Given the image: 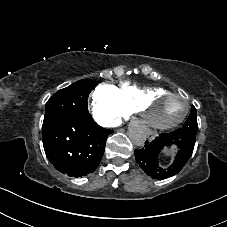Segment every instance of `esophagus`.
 <instances>
[{
  "mask_svg": "<svg viewBox=\"0 0 227 227\" xmlns=\"http://www.w3.org/2000/svg\"><path fill=\"white\" fill-rule=\"evenodd\" d=\"M155 131L154 130H149L146 136L147 141L152 142L155 139Z\"/></svg>",
  "mask_w": 227,
  "mask_h": 227,
  "instance_id": "obj_1",
  "label": "esophagus"
}]
</instances>
